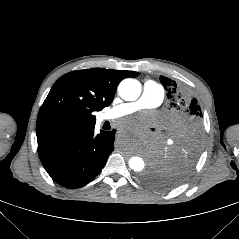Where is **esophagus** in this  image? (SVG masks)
I'll return each mask as SVG.
<instances>
[{
    "mask_svg": "<svg viewBox=\"0 0 239 239\" xmlns=\"http://www.w3.org/2000/svg\"><path fill=\"white\" fill-rule=\"evenodd\" d=\"M115 139H116L117 141H122V140L124 139V134H123L122 132H117V133L115 134Z\"/></svg>",
    "mask_w": 239,
    "mask_h": 239,
    "instance_id": "esophagus-1",
    "label": "esophagus"
}]
</instances>
